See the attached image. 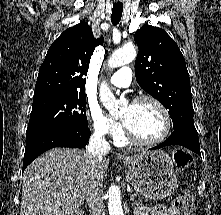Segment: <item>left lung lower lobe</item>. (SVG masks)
<instances>
[{"instance_id":"0a47b994","label":"left lung lower lobe","mask_w":221,"mask_h":215,"mask_svg":"<svg viewBox=\"0 0 221 215\" xmlns=\"http://www.w3.org/2000/svg\"><path fill=\"white\" fill-rule=\"evenodd\" d=\"M169 145H181L201 156L198 133L195 128L176 129L163 143L152 149L155 150Z\"/></svg>"}]
</instances>
